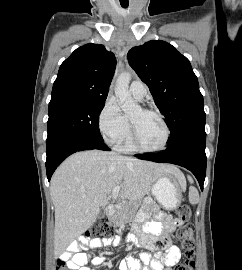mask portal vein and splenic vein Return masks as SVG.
Wrapping results in <instances>:
<instances>
[{"mask_svg": "<svg viewBox=\"0 0 242 270\" xmlns=\"http://www.w3.org/2000/svg\"><path fill=\"white\" fill-rule=\"evenodd\" d=\"M119 191H120V186H116L113 189L112 194L110 195V197H112L113 199H117Z\"/></svg>", "mask_w": 242, "mask_h": 270, "instance_id": "1", "label": "portal vein and splenic vein"}]
</instances>
